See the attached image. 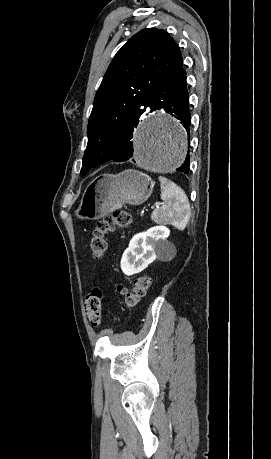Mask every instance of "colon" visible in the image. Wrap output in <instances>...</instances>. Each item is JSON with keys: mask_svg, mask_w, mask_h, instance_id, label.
Returning <instances> with one entry per match:
<instances>
[{"mask_svg": "<svg viewBox=\"0 0 271 459\" xmlns=\"http://www.w3.org/2000/svg\"><path fill=\"white\" fill-rule=\"evenodd\" d=\"M131 222L132 217L125 210H117L98 220L91 233L90 250L92 256L96 259L103 257L107 250V234L116 228L126 227ZM150 284L151 279L148 275H140L134 280L132 289L119 286L118 291L123 297L125 304L128 307H134L140 298L146 294ZM101 302V289L94 288L87 293L85 310L89 321L93 325H99L101 322Z\"/></svg>", "mask_w": 271, "mask_h": 459, "instance_id": "1", "label": "colon"}]
</instances>
